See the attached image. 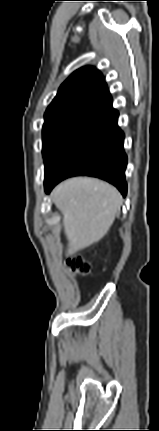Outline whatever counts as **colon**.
I'll return each mask as SVG.
<instances>
[{"mask_svg":"<svg viewBox=\"0 0 159 431\" xmlns=\"http://www.w3.org/2000/svg\"><path fill=\"white\" fill-rule=\"evenodd\" d=\"M68 266L73 275L85 276L90 271L89 263L80 256L73 257L68 260Z\"/></svg>","mask_w":159,"mask_h":431,"instance_id":"1","label":"colon"}]
</instances>
